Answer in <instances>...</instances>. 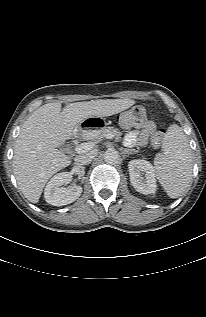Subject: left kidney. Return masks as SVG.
<instances>
[{
	"label": "left kidney",
	"instance_id": "1",
	"mask_svg": "<svg viewBox=\"0 0 206 317\" xmlns=\"http://www.w3.org/2000/svg\"><path fill=\"white\" fill-rule=\"evenodd\" d=\"M130 182L136 191L148 195L157 190L153 166L146 160H131L128 164Z\"/></svg>",
	"mask_w": 206,
	"mask_h": 317
}]
</instances>
